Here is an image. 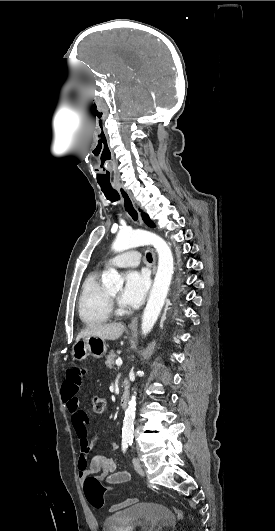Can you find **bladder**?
Instances as JSON below:
<instances>
[{"mask_svg":"<svg viewBox=\"0 0 275 531\" xmlns=\"http://www.w3.org/2000/svg\"><path fill=\"white\" fill-rule=\"evenodd\" d=\"M174 516L169 506L141 502L106 516L103 531H172Z\"/></svg>","mask_w":275,"mask_h":531,"instance_id":"obj_1","label":"bladder"}]
</instances>
